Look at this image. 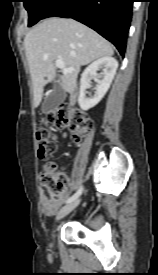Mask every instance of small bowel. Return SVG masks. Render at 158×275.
<instances>
[{"mask_svg":"<svg viewBox=\"0 0 158 275\" xmlns=\"http://www.w3.org/2000/svg\"><path fill=\"white\" fill-rule=\"evenodd\" d=\"M65 198V195L62 200L60 201H53L48 196L46 195L45 192L41 191L40 192V202H41V208L43 213L46 216H52L55 214V212L59 209L61 206L63 200Z\"/></svg>","mask_w":158,"mask_h":275,"instance_id":"c3829d8e","label":"small bowel"}]
</instances>
